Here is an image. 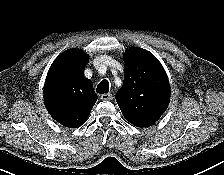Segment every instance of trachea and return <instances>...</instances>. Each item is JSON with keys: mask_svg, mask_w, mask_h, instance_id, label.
<instances>
[{"mask_svg": "<svg viewBox=\"0 0 224 175\" xmlns=\"http://www.w3.org/2000/svg\"><path fill=\"white\" fill-rule=\"evenodd\" d=\"M109 91V82L107 80H102L97 86V92L100 94L107 93Z\"/></svg>", "mask_w": 224, "mask_h": 175, "instance_id": "3493384b", "label": "trachea"}]
</instances>
